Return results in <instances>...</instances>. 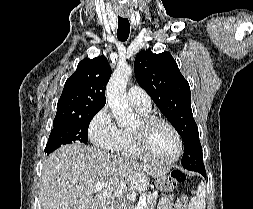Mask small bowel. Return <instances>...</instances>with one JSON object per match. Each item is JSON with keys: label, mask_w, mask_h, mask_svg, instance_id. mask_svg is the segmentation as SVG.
I'll return each mask as SVG.
<instances>
[{"label": "small bowel", "mask_w": 253, "mask_h": 209, "mask_svg": "<svg viewBox=\"0 0 253 209\" xmlns=\"http://www.w3.org/2000/svg\"><path fill=\"white\" fill-rule=\"evenodd\" d=\"M157 209H176V206L173 205V196L168 195L162 198L157 206Z\"/></svg>", "instance_id": "small-bowel-1"}]
</instances>
